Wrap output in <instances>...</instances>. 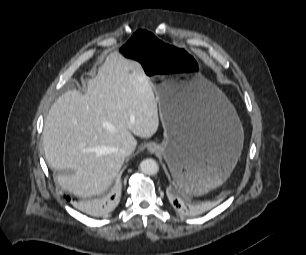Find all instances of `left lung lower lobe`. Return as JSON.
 I'll list each match as a JSON object with an SVG mask.
<instances>
[{"label": "left lung lower lobe", "instance_id": "obj_1", "mask_svg": "<svg viewBox=\"0 0 306 255\" xmlns=\"http://www.w3.org/2000/svg\"><path fill=\"white\" fill-rule=\"evenodd\" d=\"M187 182H188L187 177H183L182 184H186ZM170 198H171L173 207L179 212L184 213V214H194L198 212V207L181 199L178 196V192L176 190H172L170 192Z\"/></svg>", "mask_w": 306, "mask_h": 255}]
</instances>
